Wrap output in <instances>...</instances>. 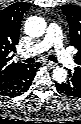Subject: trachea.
Here are the masks:
<instances>
[{
    "mask_svg": "<svg viewBox=\"0 0 81 124\" xmlns=\"http://www.w3.org/2000/svg\"><path fill=\"white\" fill-rule=\"evenodd\" d=\"M48 59L51 60V61H53V62H57L58 61L57 58L55 56H53V55H50L48 57ZM25 62L28 63V64H31V63H34L35 62V59L32 58V57H30V58H27Z\"/></svg>",
    "mask_w": 81,
    "mask_h": 124,
    "instance_id": "1",
    "label": "trachea"
}]
</instances>
